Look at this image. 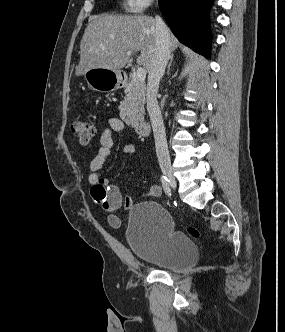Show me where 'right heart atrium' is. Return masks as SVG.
<instances>
[{
  "mask_svg": "<svg viewBox=\"0 0 285 332\" xmlns=\"http://www.w3.org/2000/svg\"><path fill=\"white\" fill-rule=\"evenodd\" d=\"M154 0H124V6L133 13H141L147 9Z\"/></svg>",
  "mask_w": 285,
  "mask_h": 332,
  "instance_id": "1",
  "label": "right heart atrium"
}]
</instances>
